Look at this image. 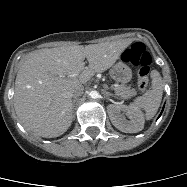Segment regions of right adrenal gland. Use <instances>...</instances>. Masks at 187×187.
<instances>
[{"label": "right adrenal gland", "mask_w": 187, "mask_h": 187, "mask_svg": "<svg viewBox=\"0 0 187 187\" xmlns=\"http://www.w3.org/2000/svg\"><path fill=\"white\" fill-rule=\"evenodd\" d=\"M76 101H77V99L75 98L73 101H72V103H73V109L75 108V106H76Z\"/></svg>", "instance_id": "obj_1"}]
</instances>
